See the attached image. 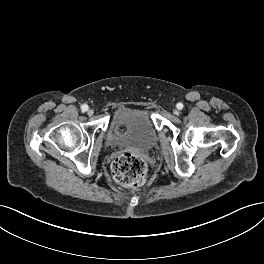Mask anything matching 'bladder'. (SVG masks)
Instances as JSON below:
<instances>
[{
  "label": "bladder",
  "mask_w": 264,
  "mask_h": 264,
  "mask_svg": "<svg viewBox=\"0 0 264 264\" xmlns=\"http://www.w3.org/2000/svg\"><path fill=\"white\" fill-rule=\"evenodd\" d=\"M158 141V132L151 114L143 109L118 110L109 129L107 144L149 151Z\"/></svg>",
  "instance_id": "bladder-1"
}]
</instances>
